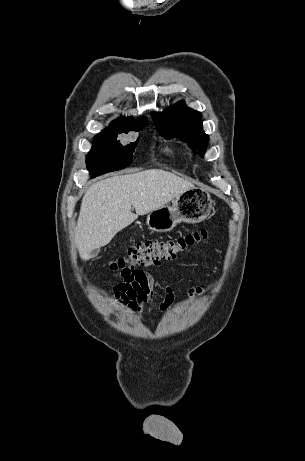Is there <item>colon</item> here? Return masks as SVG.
Masks as SVG:
<instances>
[{
  "instance_id": "obj_1",
  "label": "colon",
  "mask_w": 305,
  "mask_h": 461,
  "mask_svg": "<svg viewBox=\"0 0 305 461\" xmlns=\"http://www.w3.org/2000/svg\"><path fill=\"white\" fill-rule=\"evenodd\" d=\"M205 230H196L174 239H150L132 245L124 257L110 262V269L126 279L137 267L157 265L176 256L207 239Z\"/></svg>"
}]
</instances>
